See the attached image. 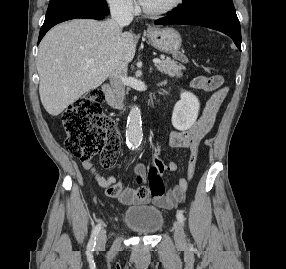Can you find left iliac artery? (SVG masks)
<instances>
[{
    "label": "left iliac artery",
    "instance_id": "44dca946",
    "mask_svg": "<svg viewBox=\"0 0 286 269\" xmlns=\"http://www.w3.org/2000/svg\"><path fill=\"white\" fill-rule=\"evenodd\" d=\"M176 216H177V219L179 220V222L184 224L185 217H184L182 211H178Z\"/></svg>",
    "mask_w": 286,
    "mask_h": 269
}]
</instances>
